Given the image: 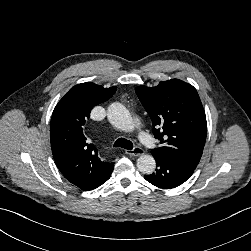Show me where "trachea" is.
<instances>
[{
  "mask_svg": "<svg viewBox=\"0 0 251 251\" xmlns=\"http://www.w3.org/2000/svg\"><path fill=\"white\" fill-rule=\"evenodd\" d=\"M113 146L131 150L133 148V143L125 138H119L115 141Z\"/></svg>",
  "mask_w": 251,
  "mask_h": 251,
  "instance_id": "obj_1",
  "label": "trachea"
}]
</instances>
